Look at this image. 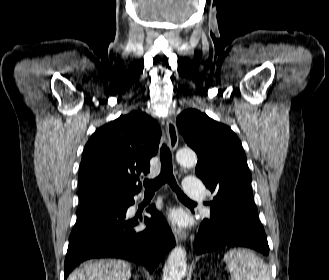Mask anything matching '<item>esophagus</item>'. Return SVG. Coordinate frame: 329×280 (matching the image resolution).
Returning <instances> with one entry per match:
<instances>
[{"mask_svg":"<svg viewBox=\"0 0 329 280\" xmlns=\"http://www.w3.org/2000/svg\"><path fill=\"white\" fill-rule=\"evenodd\" d=\"M166 133L168 137L169 147L172 151H175L178 146V130L172 119L166 121ZM173 235L177 242L185 241L187 238L186 232L182 231L175 225L171 226Z\"/></svg>","mask_w":329,"mask_h":280,"instance_id":"34e87169","label":"esophagus"}]
</instances>
